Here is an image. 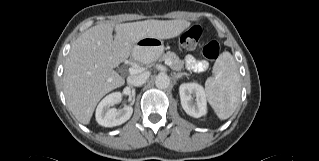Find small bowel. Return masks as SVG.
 <instances>
[{"instance_id":"small-bowel-1","label":"small bowel","mask_w":319,"mask_h":161,"mask_svg":"<svg viewBox=\"0 0 319 161\" xmlns=\"http://www.w3.org/2000/svg\"><path fill=\"white\" fill-rule=\"evenodd\" d=\"M185 64L194 70H201L206 67V63L204 61L195 58L193 55H187L185 57Z\"/></svg>"}]
</instances>
